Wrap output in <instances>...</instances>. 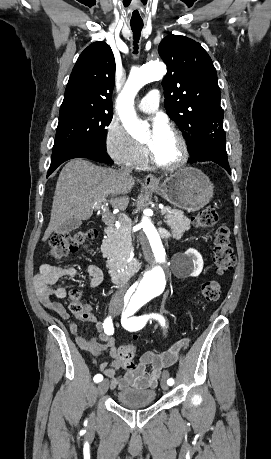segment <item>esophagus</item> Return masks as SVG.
<instances>
[{
    "instance_id": "34e87169",
    "label": "esophagus",
    "mask_w": 271,
    "mask_h": 459,
    "mask_svg": "<svg viewBox=\"0 0 271 459\" xmlns=\"http://www.w3.org/2000/svg\"><path fill=\"white\" fill-rule=\"evenodd\" d=\"M159 181L153 174H148L145 177V184L149 186L158 185Z\"/></svg>"
}]
</instances>
